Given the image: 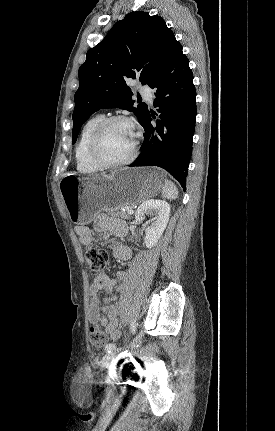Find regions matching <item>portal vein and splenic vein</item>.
Here are the masks:
<instances>
[{"mask_svg":"<svg viewBox=\"0 0 275 431\" xmlns=\"http://www.w3.org/2000/svg\"><path fill=\"white\" fill-rule=\"evenodd\" d=\"M127 212H128V214H134V211L131 209V208H129V209H127Z\"/></svg>","mask_w":275,"mask_h":431,"instance_id":"portal-vein-and-splenic-vein-1","label":"portal vein and splenic vein"}]
</instances>
